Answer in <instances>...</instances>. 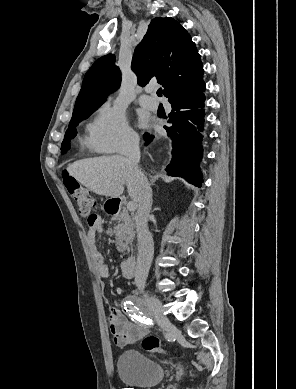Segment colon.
<instances>
[{
	"label": "colon",
	"instance_id": "5ec220e1",
	"mask_svg": "<svg viewBox=\"0 0 296 389\" xmlns=\"http://www.w3.org/2000/svg\"><path fill=\"white\" fill-rule=\"evenodd\" d=\"M64 185L72 196L73 200L77 204L82 215L88 216V221H92L93 215L91 214L94 208V200L91 197L89 191L84 188L79 182L64 174ZM142 348L147 352H159L162 351V345L160 340L154 336H146L141 342Z\"/></svg>",
	"mask_w": 296,
	"mask_h": 389
}]
</instances>
